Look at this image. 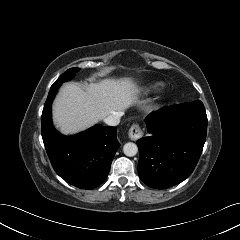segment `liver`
Returning a JSON list of instances; mask_svg holds the SVG:
<instances>
[{"mask_svg": "<svg viewBox=\"0 0 240 240\" xmlns=\"http://www.w3.org/2000/svg\"><path fill=\"white\" fill-rule=\"evenodd\" d=\"M140 93L131 78L105 79L81 87L66 83L53 106V120L63 134H73L114 113L124 114Z\"/></svg>", "mask_w": 240, "mask_h": 240, "instance_id": "1", "label": "liver"}]
</instances>
